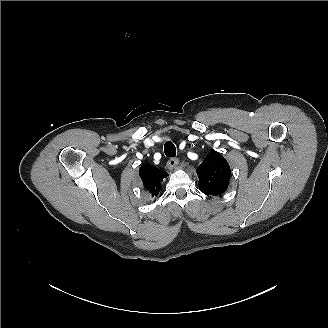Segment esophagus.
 <instances>
[{"mask_svg": "<svg viewBox=\"0 0 328 328\" xmlns=\"http://www.w3.org/2000/svg\"><path fill=\"white\" fill-rule=\"evenodd\" d=\"M179 165V160L176 157H171L167 162V168L172 170L175 169Z\"/></svg>", "mask_w": 328, "mask_h": 328, "instance_id": "obj_1", "label": "esophagus"}]
</instances>
